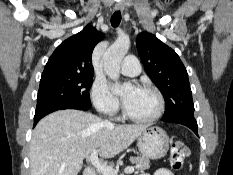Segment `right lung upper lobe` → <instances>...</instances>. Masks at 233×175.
Segmentation results:
<instances>
[{
    "label": "right lung upper lobe",
    "mask_w": 233,
    "mask_h": 175,
    "mask_svg": "<svg viewBox=\"0 0 233 175\" xmlns=\"http://www.w3.org/2000/svg\"><path fill=\"white\" fill-rule=\"evenodd\" d=\"M103 38L93 26L62 42L49 58L41 78L75 74H93L92 52Z\"/></svg>",
    "instance_id": "right-lung-upper-lobe-1"
}]
</instances>
